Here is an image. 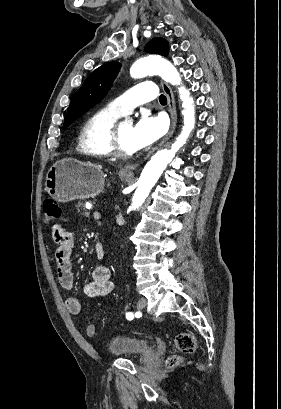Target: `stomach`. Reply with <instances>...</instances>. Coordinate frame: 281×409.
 Masks as SVG:
<instances>
[{"mask_svg": "<svg viewBox=\"0 0 281 409\" xmlns=\"http://www.w3.org/2000/svg\"><path fill=\"white\" fill-rule=\"evenodd\" d=\"M121 178H128L120 174ZM105 176L101 166L81 162L77 158H61L50 166L46 174V190L58 202L74 198H90L102 192Z\"/></svg>", "mask_w": 281, "mask_h": 409, "instance_id": "1", "label": "stomach"}]
</instances>
